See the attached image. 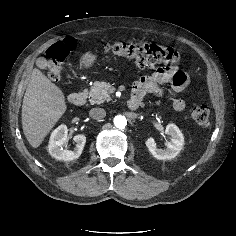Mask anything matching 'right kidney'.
Returning <instances> with one entry per match:
<instances>
[{
	"label": "right kidney",
	"mask_w": 236,
	"mask_h": 236,
	"mask_svg": "<svg viewBox=\"0 0 236 236\" xmlns=\"http://www.w3.org/2000/svg\"><path fill=\"white\" fill-rule=\"evenodd\" d=\"M68 140V129L66 125L58 126L51 134L48 151L57 160L72 161L77 159L83 151L86 143V136L79 134L74 136L76 142L73 150L64 149Z\"/></svg>",
	"instance_id": "right-kidney-1"
}]
</instances>
